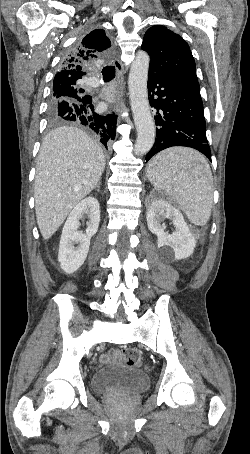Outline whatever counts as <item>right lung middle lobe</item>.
<instances>
[{
    "instance_id": "right-lung-middle-lobe-1",
    "label": "right lung middle lobe",
    "mask_w": 250,
    "mask_h": 454,
    "mask_svg": "<svg viewBox=\"0 0 250 454\" xmlns=\"http://www.w3.org/2000/svg\"><path fill=\"white\" fill-rule=\"evenodd\" d=\"M80 93H82V91L80 89L78 90L76 83L53 85V91L51 94L48 111V117L50 122L51 123L63 122L64 120L57 115L56 110L54 109L55 106L61 100H66L69 103H72L80 102L86 99L87 96H81Z\"/></svg>"
}]
</instances>
